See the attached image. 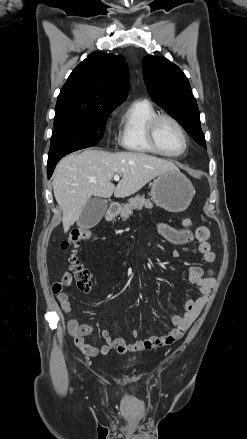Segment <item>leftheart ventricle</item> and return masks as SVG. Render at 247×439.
<instances>
[{
	"label": "left heart ventricle",
	"mask_w": 247,
	"mask_h": 439,
	"mask_svg": "<svg viewBox=\"0 0 247 439\" xmlns=\"http://www.w3.org/2000/svg\"><path fill=\"white\" fill-rule=\"evenodd\" d=\"M157 141L162 150L168 153H178L183 149L182 135L174 124L164 120L157 127Z\"/></svg>",
	"instance_id": "1"
}]
</instances>
